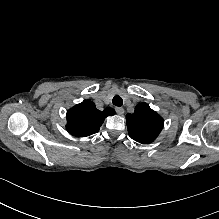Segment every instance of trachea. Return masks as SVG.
<instances>
[{
    "label": "trachea",
    "instance_id": "3493384b",
    "mask_svg": "<svg viewBox=\"0 0 219 219\" xmlns=\"http://www.w3.org/2000/svg\"><path fill=\"white\" fill-rule=\"evenodd\" d=\"M112 102L117 107H120L123 104L122 98L120 96H118V95L113 98Z\"/></svg>",
    "mask_w": 219,
    "mask_h": 219
}]
</instances>
